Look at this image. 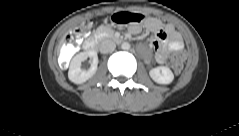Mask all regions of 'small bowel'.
<instances>
[{
    "label": "small bowel",
    "mask_w": 239,
    "mask_h": 136,
    "mask_svg": "<svg viewBox=\"0 0 239 136\" xmlns=\"http://www.w3.org/2000/svg\"><path fill=\"white\" fill-rule=\"evenodd\" d=\"M144 27L146 30L155 33L152 47L155 50V59L159 64H164L168 61L170 51L175 52L181 49V38L176 32H174L172 26H165V30L170 34L169 43H167V34L162 29V23L158 19L148 18L145 21ZM140 30L139 26H132L129 29L130 33L133 35L138 34Z\"/></svg>",
    "instance_id": "1"
}]
</instances>
